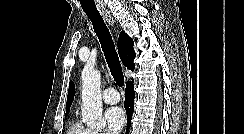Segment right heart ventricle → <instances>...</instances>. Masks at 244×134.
Listing matches in <instances>:
<instances>
[{
  "instance_id": "obj_1",
  "label": "right heart ventricle",
  "mask_w": 244,
  "mask_h": 134,
  "mask_svg": "<svg viewBox=\"0 0 244 134\" xmlns=\"http://www.w3.org/2000/svg\"><path fill=\"white\" fill-rule=\"evenodd\" d=\"M67 134H94V132L84 127L80 122L73 121L67 131Z\"/></svg>"
}]
</instances>
